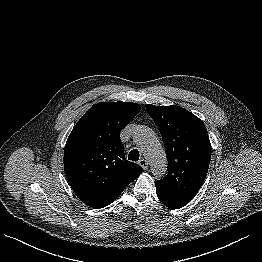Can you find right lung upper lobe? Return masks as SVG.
Wrapping results in <instances>:
<instances>
[{"label": "right lung upper lobe", "instance_id": "right-lung-upper-lobe-1", "mask_svg": "<svg viewBox=\"0 0 262 262\" xmlns=\"http://www.w3.org/2000/svg\"><path fill=\"white\" fill-rule=\"evenodd\" d=\"M131 102L92 106L70 133L64 150L67 178L78 198L94 209L113 202L142 173L124 155L120 131L139 113Z\"/></svg>", "mask_w": 262, "mask_h": 262}]
</instances>
